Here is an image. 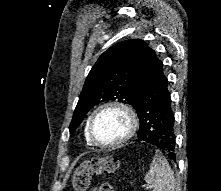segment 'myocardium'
I'll return each mask as SVG.
<instances>
[{"mask_svg":"<svg viewBox=\"0 0 221 191\" xmlns=\"http://www.w3.org/2000/svg\"><path fill=\"white\" fill-rule=\"evenodd\" d=\"M108 110H116V111L121 112L127 120V129L124 135L118 140L110 142V143H102V142H99L95 138L94 124L99 114ZM138 126H139V120H138L137 113L131 106L120 101H110V102H106L98 106L93 111V113L90 116L88 125H87V132H88V136L92 144L100 148H116L125 144L127 141H129L135 135L138 129Z\"/></svg>","mask_w":221,"mask_h":191,"instance_id":"myocardium-1","label":"myocardium"}]
</instances>
